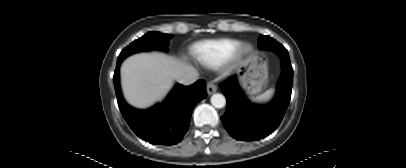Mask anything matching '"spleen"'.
I'll return each instance as SVG.
<instances>
[{
	"label": "spleen",
	"mask_w": 406,
	"mask_h": 168,
	"mask_svg": "<svg viewBox=\"0 0 406 168\" xmlns=\"http://www.w3.org/2000/svg\"><path fill=\"white\" fill-rule=\"evenodd\" d=\"M273 92H274L273 89H269L265 91L263 94L256 96L255 98L254 97L251 98V100L255 102H266L271 99Z\"/></svg>",
	"instance_id": "obj_1"
}]
</instances>
